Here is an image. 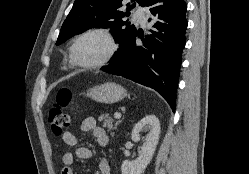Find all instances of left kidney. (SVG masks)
<instances>
[{"instance_id":"obj_1","label":"left kidney","mask_w":249,"mask_h":174,"mask_svg":"<svg viewBox=\"0 0 249 174\" xmlns=\"http://www.w3.org/2000/svg\"><path fill=\"white\" fill-rule=\"evenodd\" d=\"M145 127H147L150 132L141 147L139 157L133 161H123L121 166L122 174H142L153 157L160 135V123L155 115H147L141 119L134 126L131 138L134 142L140 141L139 133Z\"/></svg>"}]
</instances>
